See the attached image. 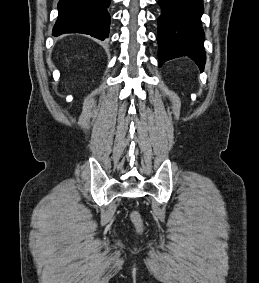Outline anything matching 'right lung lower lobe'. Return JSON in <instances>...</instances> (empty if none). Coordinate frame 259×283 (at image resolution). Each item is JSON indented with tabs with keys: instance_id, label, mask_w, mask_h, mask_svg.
<instances>
[{
	"instance_id": "1",
	"label": "right lung lower lobe",
	"mask_w": 259,
	"mask_h": 283,
	"mask_svg": "<svg viewBox=\"0 0 259 283\" xmlns=\"http://www.w3.org/2000/svg\"><path fill=\"white\" fill-rule=\"evenodd\" d=\"M111 0H60L53 35L84 33L100 40L108 37Z\"/></svg>"
}]
</instances>
